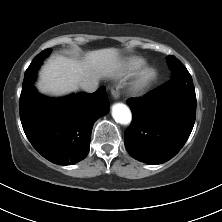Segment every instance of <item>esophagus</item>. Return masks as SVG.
Wrapping results in <instances>:
<instances>
[{
	"label": "esophagus",
	"instance_id": "1",
	"mask_svg": "<svg viewBox=\"0 0 222 222\" xmlns=\"http://www.w3.org/2000/svg\"><path fill=\"white\" fill-rule=\"evenodd\" d=\"M111 94H112L114 99H118L119 98V87L117 85H113L111 87Z\"/></svg>",
	"mask_w": 222,
	"mask_h": 222
}]
</instances>
